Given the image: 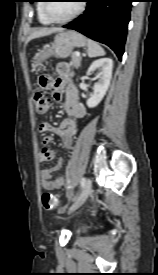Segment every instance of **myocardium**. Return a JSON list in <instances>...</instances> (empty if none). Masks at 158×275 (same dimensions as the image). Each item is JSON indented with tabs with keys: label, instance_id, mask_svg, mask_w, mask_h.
Instances as JSON below:
<instances>
[{
	"label": "myocardium",
	"instance_id": "1",
	"mask_svg": "<svg viewBox=\"0 0 158 275\" xmlns=\"http://www.w3.org/2000/svg\"><path fill=\"white\" fill-rule=\"evenodd\" d=\"M46 3L43 4V11L45 16L48 18V20H50L52 23H66L68 21L73 20L74 18H76L77 16H79L85 9V3L83 0L80 1L78 8L76 9V11L71 14L70 16L66 17V18H55L53 17L50 12H49V4L48 2L50 1H45Z\"/></svg>",
	"mask_w": 158,
	"mask_h": 275
}]
</instances>
